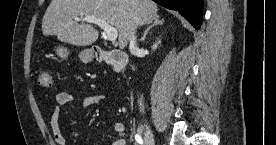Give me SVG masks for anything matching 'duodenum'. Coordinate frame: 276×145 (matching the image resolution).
I'll return each instance as SVG.
<instances>
[{"label":"duodenum","instance_id":"obj_1","mask_svg":"<svg viewBox=\"0 0 276 145\" xmlns=\"http://www.w3.org/2000/svg\"><path fill=\"white\" fill-rule=\"evenodd\" d=\"M95 55L99 61L110 64L116 72L124 73L127 70L128 56L122 50H105L101 47H97L95 49Z\"/></svg>","mask_w":276,"mask_h":145}]
</instances>
